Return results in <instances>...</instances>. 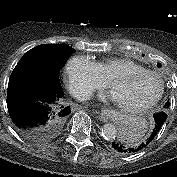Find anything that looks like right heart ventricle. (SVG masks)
Masks as SVG:
<instances>
[{"mask_svg": "<svg viewBox=\"0 0 177 177\" xmlns=\"http://www.w3.org/2000/svg\"><path fill=\"white\" fill-rule=\"evenodd\" d=\"M103 78L109 82L114 76L133 70H145L139 63L127 58H110L95 62Z\"/></svg>", "mask_w": 177, "mask_h": 177, "instance_id": "e07e8e85", "label": "right heart ventricle"}]
</instances>
